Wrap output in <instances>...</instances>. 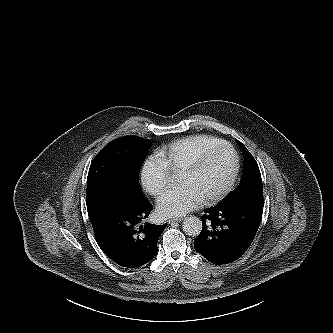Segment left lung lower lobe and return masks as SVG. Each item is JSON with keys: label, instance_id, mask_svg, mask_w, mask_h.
<instances>
[{"label": "left lung lower lobe", "instance_id": "obj_1", "mask_svg": "<svg viewBox=\"0 0 333 333\" xmlns=\"http://www.w3.org/2000/svg\"><path fill=\"white\" fill-rule=\"evenodd\" d=\"M263 207V189L254 188L206 209L195 250L216 265L237 260L254 240Z\"/></svg>", "mask_w": 333, "mask_h": 333}]
</instances>
